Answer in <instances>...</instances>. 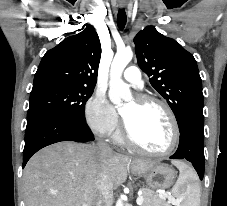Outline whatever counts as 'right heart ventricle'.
Listing matches in <instances>:
<instances>
[{
	"instance_id": "right-heart-ventricle-1",
	"label": "right heart ventricle",
	"mask_w": 227,
	"mask_h": 206,
	"mask_svg": "<svg viewBox=\"0 0 227 206\" xmlns=\"http://www.w3.org/2000/svg\"><path fill=\"white\" fill-rule=\"evenodd\" d=\"M114 139L118 142V143H123V138L121 136V134L119 132H117L115 135H114Z\"/></svg>"
}]
</instances>
